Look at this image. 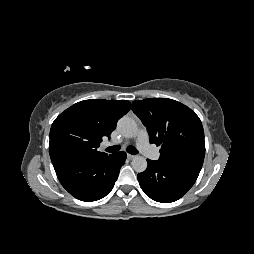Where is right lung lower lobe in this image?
I'll return each mask as SVG.
<instances>
[{
    "label": "right lung lower lobe",
    "instance_id": "obj_1",
    "mask_svg": "<svg viewBox=\"0 0 254 254\" xmlns=\"http://www.w3.org/2000/svg\"><path fill=\"white\" fill-rule=\"evenodd\" d=\"M126 154L64 158L53 162L62 186L75 198L91 202L102 199L113 188Z\"/></svg>",
    "mask_w": 254,
    "mask_h": 254
}]
</instances>
